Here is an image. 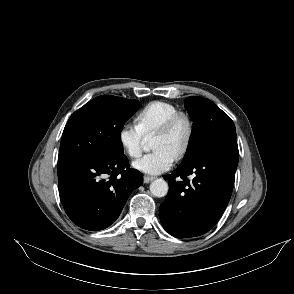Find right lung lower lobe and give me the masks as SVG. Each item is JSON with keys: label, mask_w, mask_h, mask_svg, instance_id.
<instances>
[{"label": "right lung lower lobe", "mask_w": 294, "mask_h": 294, "mask_svg": "<svg viewBox=\"0 0 294 294\" xmlns=\"http://www.w3.org/2000/svg\"><path fill=\"white\" fill-rule=\"evenodd\" d=\"M124 154L79 158L58 165L62 205L79 227L97 231L120 215L129 195L143 183Z\"/></svg>", "instance_id": "1"}]
</instances>
